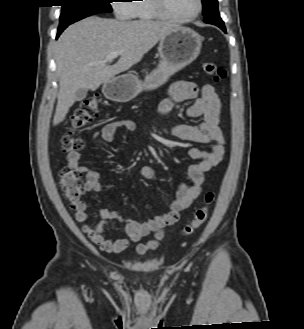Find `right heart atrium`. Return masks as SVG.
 I'll return each mask as SVG.
<instances>
[{
  "mask_svg": "<svg viewBox=\"0 0 304 329\" xmlns=\"http://www.w3.org/2000/svg\"><path fill=\"white\" fill-rule=\"evenodd\" d=\"M112 7L119 19H129L132 17V7L129 0H114Z\"/></svg>",
  "mask_w": 304,
  "mask_h": 329,
  "instance_id": "obj_1",
  "label": "right heart atrium"
}]
</instances>
